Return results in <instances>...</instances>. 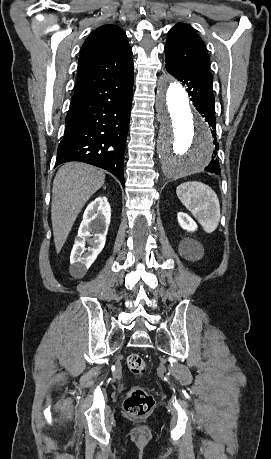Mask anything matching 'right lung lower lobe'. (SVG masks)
Returning a JSON list of instances; mask_svg holds the SVG:
<instances>
[{
    "instance_id": "98d812e1",
    "label": "right lung lower lobe",
    "mask_w": 271,
    "mask_h": 459,
    "mask_svg": "<svg viewBox=\"0 0 271 459\" xmlns=\"http://www.w3.org/2000/svg\"><path fill=\"white\" fill-rule=\"evenodd\" d=\"M133 73L71 101L55 167L80 161L114 174L124 185L123 156L132 104Z\"/></svg>"
}]
</instances>
